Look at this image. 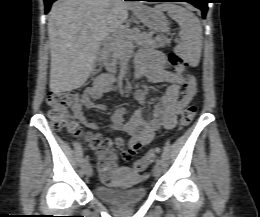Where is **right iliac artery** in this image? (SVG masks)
<instances>
[{"label": "right iliac artery", "instance_id": "obj_1", "mask_svg": "<svg viewBox=\"0 0 260 217\" xmlns=\"http://www.w3.org/2000/svg\"><path fill=\"white\" fill-rule=\"evenodd\" d=\"M88 162H89V157H88V156H86V157H85V159H84V163H85V165H87V164H88Z\"/></svg>", "mask_w": 260, "mask_h": 217}]
</instances>
